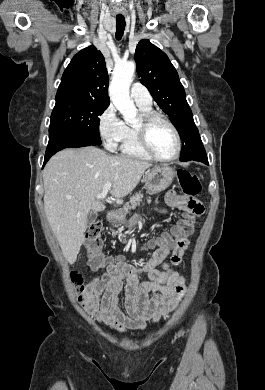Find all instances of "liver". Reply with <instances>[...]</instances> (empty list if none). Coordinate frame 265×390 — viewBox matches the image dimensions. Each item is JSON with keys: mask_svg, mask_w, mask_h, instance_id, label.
Instances as JSON below:
<instances>
[{"mask_svg": "<svg viewBox=\"0 0 265 390\" xmlns=\"http://www.w3.org/2000/svg\"><path fill=\"white\" fill-rule=\"evenodd\" d=\"M148 162L112 156L90 146L65 149L55 154L44 168V210L50 228L69 264H74L84 242L87 217L103 211L96 196L107 182L110 193L123 198L138 185Z\"/></svg>", "mask_w": 265, "mask_h": 390, "instance_id": "1", "label": "liver"}]
</instances>
